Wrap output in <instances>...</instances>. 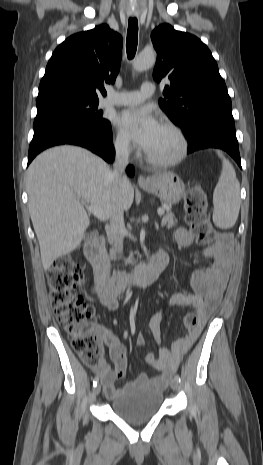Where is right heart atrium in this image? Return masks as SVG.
<instances>
[{"label": "right heart atrium", "instance_id": "right-heart-atrium-1", "mask_svg": "<svg viewBox=\"0 0 263 465\" xmlns=\"http://www.w3.org/2000/svg\"><path fill=\"white\" fill-rule=\"evenodd\" d=\"M113 149L117 155L128 157L133 152V146L129 139L122 133L118 132L113 139Z\"/></svg>", "mask_w": 263, "mask_h": 465}]
</instances>
